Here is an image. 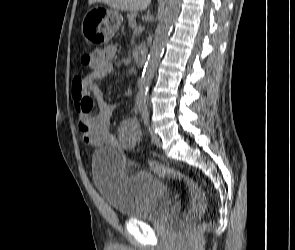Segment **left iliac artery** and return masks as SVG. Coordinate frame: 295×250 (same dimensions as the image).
<instances>
[{
    "instance_id": "left-iliac-artery-1",
    "label": "left iliac artery",
    "mask_w": 295,
    "mask_h": 250,
    "mask_svg": "<svg viewBox=\"0 0 295 250\" xmlns=\"http://www.w3.org/2000/svg\"><path fill=\"white\" fill-rule=\"evenodd\" d=\"M140 113H141V116H142V120L144 121V124L146 126L149 125V112H148V108L146 105H143L141 108H140Z\"/></svg>"
}]
</instances>
